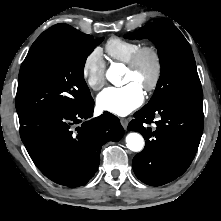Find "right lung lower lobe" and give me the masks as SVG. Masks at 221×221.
Listing matches in <instances>:
<instances>
[{"mask_svg":"<svg viewBox=\"0 0 221 221\" xmlns=\"http://www.w3.org/2000/svg\"><path fill=\"white\" fill-rule=\"evenodd\" d=\"M91 98L76 110L32 116L20 123L21 139L37 168L53 182L78 187L96 173L101 147L124 129L109 112L91 119Z\"/></svg>","mask_w":221,"mask_h":221,"instance_id":"1","label":"right lung lower lobe"}]
</instances>
